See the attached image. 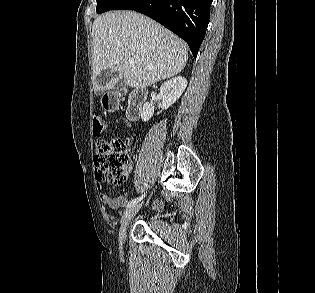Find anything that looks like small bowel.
Wrapping results in <instances>:
<instances>
[{
  "label": "small bowel",
  "instance_id": "1",
  "mask_svg": "<svg viewBox=\"0 0 315 293\" xmlns=\"http://www.w3.org/2000/svg\"><path fill=\"white\" fill-rule=\"evenodd\" d=\"M131 169V165H129V170ZM97 189L100 193V200L102 203L108 205L112 209H117L123 207L127 202V194H123L117 197H113L105 192H103V187L100 181L96 184Z\"/></svg>",
  "mask_w": 315,
  "mask_h": 293
}]
</instances>
